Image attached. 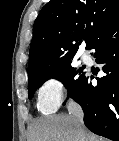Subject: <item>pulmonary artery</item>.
<instances>
[{
    "instance_id": "e3ab8cb5",
    "label": "pulmonary artery",
    "mask_w": 119,
    "mask_h": 141,
    "mask_svg": "<svg viewBox=\"0 0 119 141\" xmlns=\"http://www.w3.org/2000/svg\"><path fill=\"white\" fill-rule=\"evenodd\" d=\"M81 59L85 63H89L90 62V57L87 54H83Z\"/></svg>"
}]
</instances>
